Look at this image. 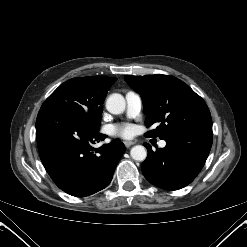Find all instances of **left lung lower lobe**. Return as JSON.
Masks as SVG:
<instances>
[{"label": "left lung lower lobe", "instance_id": "0a47b994", "mask_svg": "<svg viewBox=\"0 0 247 247\" xmlns=\"http://www.w3.org/2000/svg\"><path fill=\"white\" fill-rule=\"evenodd\" d=\"M212 127L191 128L164 138L166 146L153 151L144 144L148 156L141 169L153 185L178 190L190 184L205 164L212 146Z\"/></svg>", "mask_w": 247, "mask_h": 247}]
</instances>
